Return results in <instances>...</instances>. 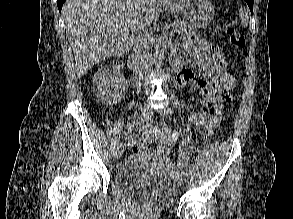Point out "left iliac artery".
Here are the masks:
<instances>
[{
    "mask_svg": "<svg viewBox=\"0 0 293 219\" xmlns=\"http://www.w3.org/2000/svg\"><path fill=\"white\" fill-rule=\"evenodd\" d=\"M174 103L176 105L179 117L182 120L180 105H179L178 100L175 97H174ZM180 157H181L182 164L187 166L189 164V157H188V153H187L186 143L184 140L182 141L181 146H180Z\"/></svg>",
    "mask_w": 293,
    "mask_h": 219,
    "instance_id": "obj_1",
    "label": "left iliac artery"
}]
</instances>
